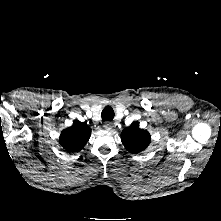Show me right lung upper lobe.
Masks as SVG:
<instances>
[{
    "label": "right lung upper lobe",
    "mask_w": 221,
    "mask_h": 221,
    "mask_svg": "<svg viewBox=\"0 0 221 221\" xmlns=\"http://www.w3.org/2000/svg\"><path fill=\"white\" fill-rule=\"evenodd\" d=\"M90 134L91 128L89 126L76 121L71 127L62 131L60 144L68 151L77 152L85 146Z\"/></svg>",
    "instance_id": "obj_1"
}]
</instances>
